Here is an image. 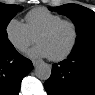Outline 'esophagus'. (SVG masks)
I'll return each instance as SVG.
<instances>
[{
  "label": "esophagus",
  "instance_id": "obj_1",
  "mask_svg": "<svg viewBox=\"0 0 95 95\" xmlns=\"http://www.w3.org/2000/svg\"><path fill=\"white\" fill-rule=\"evenodd\" d=\"M32 63H33L34 66H37V64L39 63V61L38 60H32Z\"/></svg>",
  "mask_w": 95,
  "mask_h": 95
}]
</instances>
